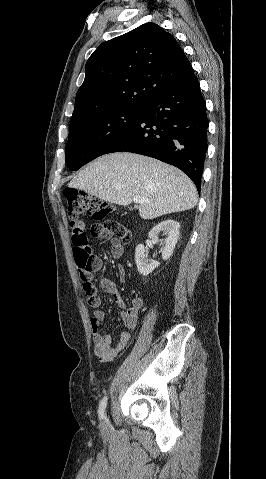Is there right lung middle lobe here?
<instances>
[{"instance_id": "dd1d6c3e", "label": "right lung middle lobe", "mask_w": 266, "mask_h": 479, "mask_svg": "<svg viewBox=\"0 0 266 479\" xmlns=\"http://www.w3.org/2000/svg\"><path fill=\"white\" fill-rule=\"evenodd\" d=\"M143 107L121 108L70 121L65 148L70 170H78L103 155L140 117Z\"/></svg>"}]
</instances>
